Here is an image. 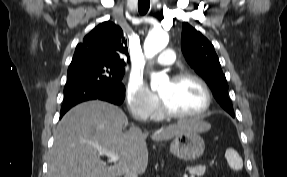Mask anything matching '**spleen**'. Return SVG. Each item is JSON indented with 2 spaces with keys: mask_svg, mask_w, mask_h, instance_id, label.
Returning a JSON list of instances; mask_svg holds the SVG:
<instances>
[{
  "mask_svg": "<svg viewBox=\"0 0 287 177\" xmlns=\"http://www.w3.org/2000/svg\"><path fill=\"white\" fill-rule=\"evenodd\" d=\"M225 158H226L229 166L233 170L239 171L243 168V160L239 156V154L237 153L236 150H234L232 148H227V150L225 152Z\"/></svg>",
  "mask_w": 287,
  "mask_h": 177,
  "instance_id": "1",
  "label": "spleen"
}]
</instances>
